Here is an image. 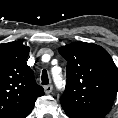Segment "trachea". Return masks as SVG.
Returning a JSON list of instances; mask_svg holds the SVG:
<instances>
[{"label": "trachea", "instance_id": "trachea-1", "mask_svg": "<svg viewBox=\"0 0 118 118\" xmlns=\"http://www.w3.org/2000/svg\"><path fill=\"white\" fill-rule=\"evenodd\" d=\"M48 83H49L48 73L46 70H43L41 75V84L47 85Z\"/></svg>", "mask_w": 118, "mask_h": 118}]
</instances>
